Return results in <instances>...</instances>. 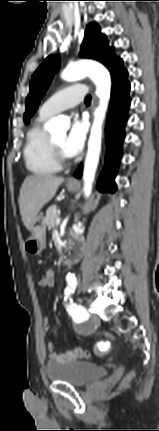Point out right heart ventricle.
<instances>
[{
	"instance_id": "e07e8e85",
	"label": "right heart ventricle",
	"mask_w": 159,
	"mask_h": 431,
	"mask_svg": "<svg viewBox=\"0 0 159 431\" xmlns=\"http://www.w3.org/2000/svg\"><path fill=\"white\" fill-rule=\"evenodd\" d=\"M47 118L39 113L27 132L23 149L26 168L37 175H51L60 170L53 155L50 137L43 128Z\"/></svg>"
}]
</instances>
